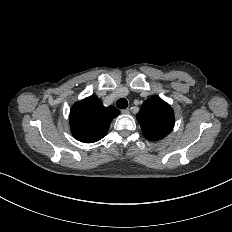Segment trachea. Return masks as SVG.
<instances>
[{
    "instance_id": "3493384b",
    "label": "trachea",
    "mask_w": 232,
    "mask_h": 232,
    "mask_svg": "<svg viewBox=\"0 0 232 232\" xmlns=\"http://www.w3.org/2000/svg\"><path fill=\"white\" fill-rule=\"evenodd\" d=\"M116 106L119 109H125L128 107V101L125 98H120L119 100H117Z\"/></svg>"
}]
</instances>
